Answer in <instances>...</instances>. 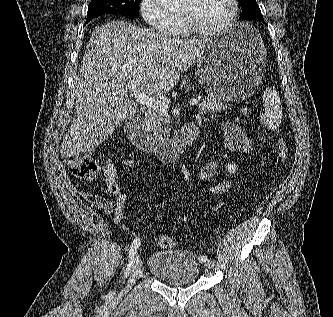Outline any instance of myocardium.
<instances>
[{"mask_svg":"<svg viewBox=\"0 0 333 317\" xmlns=\"http://www.w3.org/2000/svg\"><path fill=\"white\" fill-rule=\"evenodd\" d=\"M231 11L229 15L219 24L211 27H201L196 24L188 15L179 14L186 29L196 35H212L227 29L235 20L239 10L238 0H230Z\"/></svg>","mask_w":333,"mask_h":317,"instance_id":"obj_1","label":"myocardium"}]
</instances>
